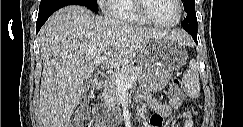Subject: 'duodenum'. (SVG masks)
<instances>
[{
    "mask_svg": "<svg viewBox=\"0 0 243 127\" xmlns=\"http://www.w3.org/2000/svg\"><path fill=\"white\" fill-rule=\"evenodd\" d=\"M107 81H108L107 76L105 74L99 73L94 77V87L96 89H102L107 85Z\"/></svg>",
    "mask_w": 243,
    "mask_h": 127,
    "instance_id": "obj_1",
    "label": "duodenum"
}]
</instances>
